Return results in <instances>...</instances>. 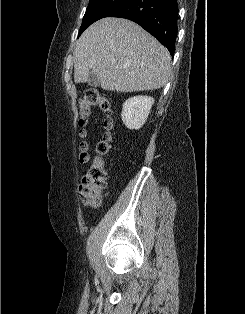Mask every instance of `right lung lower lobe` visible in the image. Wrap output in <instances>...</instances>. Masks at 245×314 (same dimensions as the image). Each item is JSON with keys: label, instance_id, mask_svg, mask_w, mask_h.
<instances>
[{"label": "right lung lower lobe", "instance_id": "right-lung-lower-lobe-1", "mask_svg": "<svg viewBox=\"0 0 245 314\" xmlns=\"http://www.w3.org/2000/svg\"><path fill=\"white\" fill-rule=\"evenodd\" d=\"M105 17H120L136 22L174 54L178 20L177 0H126Z\"/></svg>", "mask_w": 245, "mask_h": 314}]
</instances>
